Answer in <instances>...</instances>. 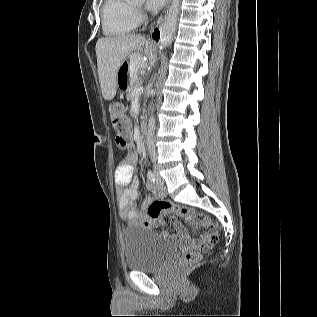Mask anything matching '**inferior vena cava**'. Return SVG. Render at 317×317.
I'll return each instance as SVG.
<instances>
[{
  "mask_svg": "<svg viewBox=\"0 0 317 317\" xmlns=\"http://www.w3.org/2000/svg\"><path fill=\"white\" fill-rule=\"evenodd\" d=\"M154 130H155V119L153 116H151L149 118V123H148L147 147H148V152L151 157V160L154 163V167H156V149H155V143L153 139Z\"/></svg>",
  "mask_w": 317,
  "mask_h": 317,
  "instance_id": "obj_1",
  "label": "inferior vena cava"
}]
</instances>
